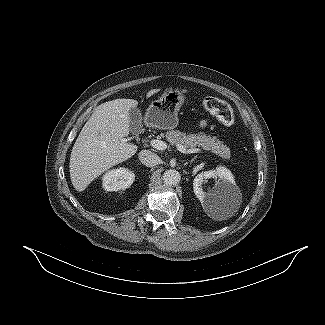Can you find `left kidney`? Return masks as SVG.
Segmentation results:
<instances>
[{
    "instance_id": "left-kidney-1",
    "label": "left kidney",
    "mask_w": 325,
    "mask_h": 325,
    "mask_svg": "<svg viewBox=\"0 0 325 325\" xmlns=\"http://www.w3.org/2000/svg\"><path fill=\"white\" fill-rule=\"evenodd\" d=\"M218 178L215 186L208 192L203 191L202 184L207 179ZM193 190L202 206L209 207L213 204L217 205L220 201L228 200V198L238 191L233 174L223 166L216 170L205 171L198 174L193 181Z\"/></svg>"
}]
</instances>
